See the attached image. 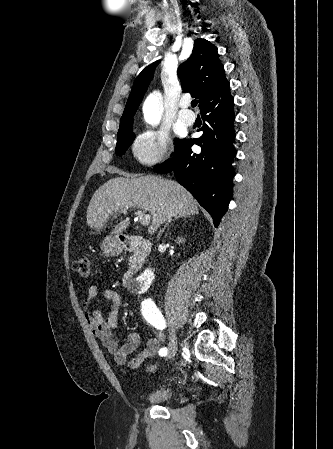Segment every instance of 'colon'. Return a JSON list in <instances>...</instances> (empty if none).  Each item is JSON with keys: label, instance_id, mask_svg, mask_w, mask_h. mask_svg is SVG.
I'll return each mask as SVG.
<instances>
[{"label": "colon", "instance_id": "5ec220e1", "mask_svg": "<svg viewBox=\"0 0 333 449\" xmlns=\"http://www.w3.org/2000/svg\"><path fill=\"white\" fill-rule=\"evenodd\" d=\"M73 269L77 273H79L82 276H86L89 274L90 271V260L88 257L83 256L75 260L73 264ZM153 369V368H151Z\"/></svg>", "mask_w": 333, "mask_h": 449}]
</instances>
